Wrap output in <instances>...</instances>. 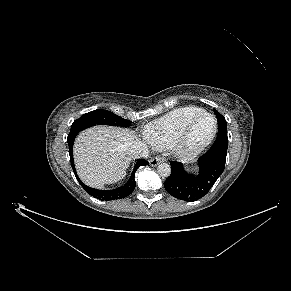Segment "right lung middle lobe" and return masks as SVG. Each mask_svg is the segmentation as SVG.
<instances>
[{
    "mask_svg": "<svg viewBox=\"0 0 291 291\" xmlns=\"http://www.w3.org/2000/svg\"><path fill=\"white\" fill-rule=\"evenodd\" d=\"M75 125L89 127L95 124L127 127L131 121L124 119L110 111L97 109L82 115L74 121Z\"/></svg>",
    "mask_w": 291,
    "mask_h": 291,
    "instance_id": "obj_1",
    "label": "right lung middle lobe"
}]
</instances>
